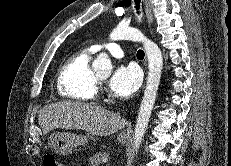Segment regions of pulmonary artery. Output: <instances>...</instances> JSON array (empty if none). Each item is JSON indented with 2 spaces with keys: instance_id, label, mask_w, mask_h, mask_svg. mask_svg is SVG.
I'll list each match as a JSON object with an SVG mask.
<instances>
[{
  "instance_id": "1",
  "label": "pulmonary artery",
  "mask_w": 231,
  "mask_h": 166,
  "mask_svg": "<svg viewBox=\"0 0 231 166\" xmlns=\"http://www.w3.org/2000/svg\"><path fill=\"white\" fill-rule=\"evenodd\" d=\"M94 52L102 50L108 51L112 56L121 58L124 56V51L121 46L116 42L99 43L91 46Z\"/></svg>"
}]
</instances>
